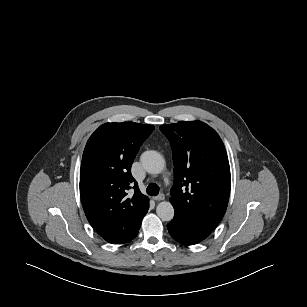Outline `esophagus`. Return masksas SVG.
I'll return each instance as SVG.
<instances>
[{
    "label": "esophagus",
    "mask_w": 307,
    "mask_h": 307,
    "mask_svg": "<svg viewBox=\"0 0 307 307\" xmlns=\"http://www.w3.org/2000/svg\"><path fill=\"white\" fill-rule=\"evenodd\" d=\"M165 199V195L163 193L159 194L158 196H154L153 200L155 201H162Z\"/></svg>",
    "instance_id": "34e87169"
}]
</instances>
